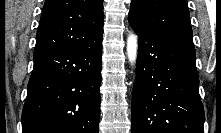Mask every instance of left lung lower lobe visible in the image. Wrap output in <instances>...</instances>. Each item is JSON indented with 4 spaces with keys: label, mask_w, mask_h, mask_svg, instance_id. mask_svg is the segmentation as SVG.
Instances as JSON below:
<instances>
[{
    "label": "left lung lower lobe",
    "mask_w": 221,
    "mask_h": 133,
    "mask_svg": "<svg viewBox=\"0 0 221 133\" xmlns=\"http://www.w3.org/2000/svg\"><path fill=\"white\" fill-rule=\"evenodd\" d=\"M139 36L132 133H203L193 42L135 31Z\"/></svg>",
    "instance_id": "0a47b994"
}]
</instances>
